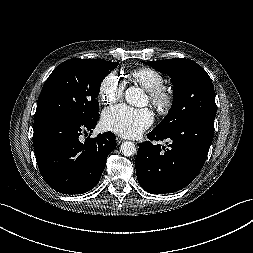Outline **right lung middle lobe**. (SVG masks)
Masks as SVG:
<instances>
[{"label": "right lung middle lobe", "instance_id": "dd1d6c3e", "mask_svg": "<svg viewBox=\"0 0 253 253\" xmlns=\"http://www.w3.org/2000/svg\"><path fill=\"white\" fill-rule=\"evenodd\" d=\"M118 62L73 58L50 74L40 93L34 120L62 116L89 121L99 116L97 96L103 79Z\"/></svg>", "mask_w": 253, "mask_h": 253}]
</instances>
